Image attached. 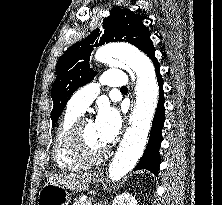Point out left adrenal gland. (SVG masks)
I'll use <instances>...</instances> for the list:
<instances>
[{"label": "left adrenal gland", "mask_w": 222, "mask_h": 205, "mask_svg": "<svg viewBox=\"0 0 222 205\" xmlns=\"http://www.w3.org/2000/svg\"><path fill=\"white\" fill-rule=\"evenodd\" d=\"M97 205H106V202L100 201Z\"/></svg>", "instance_id": "left-adrenal-gland-1"}]
</instances>
